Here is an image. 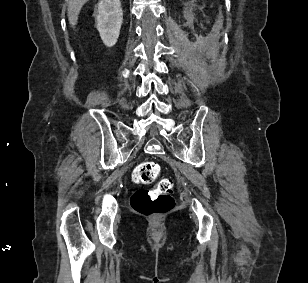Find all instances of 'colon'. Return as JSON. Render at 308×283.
Returning <instances> with one entry per match:
<instances>
[{
    "label": "colon",
    "mask_w": 308,
    "mask_h": 283,
    "mask_svg": "<svg viewBox=\"0 0 308 283\" xmlns=\"http://www.w3.org/2000/svg\"><path fill=\"white\" fill-rule=\"evenodd\" d=\"M161 173L160 166L152 161L140 163L133 171L132 179L137 184L153 183ZM173 182L160 180L152 189L137 190L131 200L132 208L143 215L155 216L169 212L174 206Z\"/></svg>",
    "instance_id": "5ec220e1"
}]
</instances>
